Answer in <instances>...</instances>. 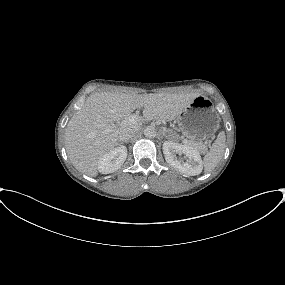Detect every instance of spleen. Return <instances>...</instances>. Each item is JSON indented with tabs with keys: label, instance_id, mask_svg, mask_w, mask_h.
<instances>
[{
	"label": "spleen",
	"instance_id": "1",
	"mask_svg": "<svg viewBox=\"0 0 285 285\" xmlns=\"http://www.w3.org/2000/svg\"><path fill=\"white\" fill-rule=\"evenodd\" d=\"M225 133L222 131L218 134L217 139L212 144L210 151L203 158V166L205 173H209L215 169L222 159L225 151Z\"/></svg>",
	"mask_w": 285,
	"mask_h": 285
}]
</instances>
